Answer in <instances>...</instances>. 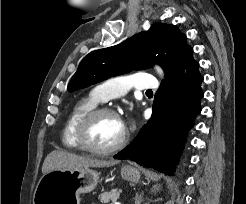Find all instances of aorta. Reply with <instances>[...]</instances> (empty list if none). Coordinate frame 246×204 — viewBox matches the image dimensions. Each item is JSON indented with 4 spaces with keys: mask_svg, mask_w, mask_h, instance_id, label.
<instances>
[{
    "mask_svg": "<svg viewBox=\"0 0 246 204\" xmlns=\"http://www.w3.org/2000/svg\"><path fill=\"white\" fill-rule=\"evenodd\" d=\"M156 71L158 72L159 75L163 76V71L161 70L160 67L156 66Z\"/></svg>",
    "mask_w": 246,
    "mask_h": 204,
    "instance_id": "obj_1",
    "label": "aorta"
}]
</instances>
